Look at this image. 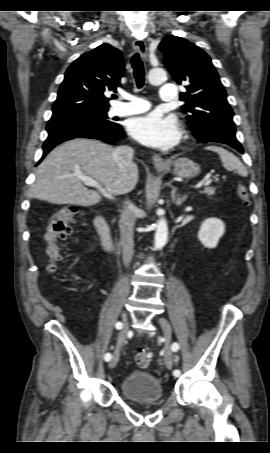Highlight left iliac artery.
Masks as SVG:
<instances>
[{
    "mask_svg": "<svg viewBox=\"0 0 270 453\" xmlns=\"http://www.w3.org/2000/svg\"><path fill=\"white\" fill-rule=\"evenodd\" d=\"M171 349H172L173 352L178 351V349H179L178 343H176V342L173 343L172 346H171ZM180 374H181V372H180V370H178V369H176V370L173 371V375H174L175 377L180 376Z\"/></svg>",
    "mask_w": 270,
    "mask_h": 453,
    "instance_id": "obj_1",
    "label": "left iliac artery"
}]
</instances>
